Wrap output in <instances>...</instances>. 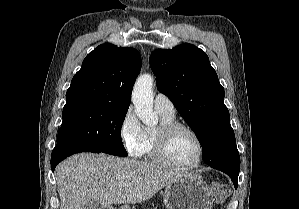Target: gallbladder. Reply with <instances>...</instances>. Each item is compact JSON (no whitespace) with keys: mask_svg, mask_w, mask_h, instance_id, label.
<instances>
[{"mask_svg":"<svg viewBox=\"0 0 299 209\" xmlns=\"http://www.w3.org/2000/svg\"><path fill=\"white\" fill-rule=\"evenodd\" d=\"M83 209H100V205L96 201L89 200L85 203Z\"/></svg>","mask_w":299,"mask_h":209,"instance_id":"gallbladder-1","label":"gallbladder"}]
</instances>
